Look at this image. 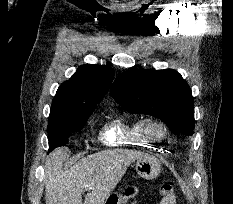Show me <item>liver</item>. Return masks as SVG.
Masks as SVG:
<instances>
[{"instance_id":"1","label":"liver","mask_w":233,"mask_h":204,"mask_svg":"<svg viewBox=\"0 0 233 204\" xmlns=\"http://www.w3.org/2000/svg\"><path fill=\"white\" fill-rule=\"evenodd\" d=\"M67 148L49 154L45 165L46 204H105L129 165L145 153L136 150H105L81 158L63 169ZM89 191L84 201L82 193Z\"/></svg>"}]
</instances>
